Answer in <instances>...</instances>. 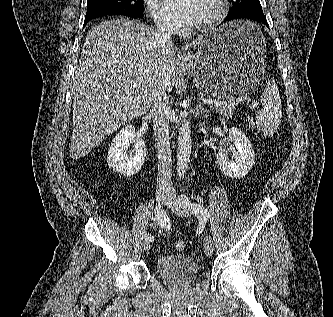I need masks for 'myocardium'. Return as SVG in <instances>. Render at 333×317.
Segmentation results:
<instances>
[{"instance_id":"obj_1","label":"myocardium","mask_w":333,"mask_h":317,"mask_svg":"<svg viewBox=\"0 0 333 317\" xmlns=\"http://www.w3.org/2000/svg\"><path fill=\"white\" fill-rule=\"evenodd\" d=\"M215 10L211 17L202 24L195 26V30L198 32H208L218 26L227 16L229 12L228 0H213Z\"/></svg>"}]
</instances>
